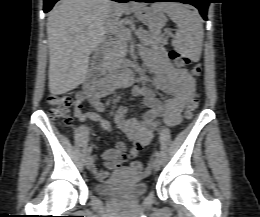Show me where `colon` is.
I'll list each match as a JSON object with an SVG mask.
<instances>
[{
  "mask_svg": "<svg viewBox=\"0 0 260 217\" xmlns=\"http://www.w3.org/2000/svg\"><path fill=\"white\" fill-rule=\"evenodd\" d=\"M171 61L177 66H184L189 63V58L177 51H171L169 54ZM192 73L195 77H199L201 73L200 65L196 64L192 70ZM80 95L76 97L70 95H51L48 98L49 104L52 106V109L49 112V115L52 119L59 120L66 126L72 124V117L70 115V107L75 105L80 101ZM198 108L197 97L194 96L187 104L184 116L186 119H191L194 112ZM133 169L137 172H142L144 169V164L140 161H136L132 165Z\"/></svg>",
  "mask_w": 260,
  "mask_h": 217,
  "instance_id": "colon-1",
  "label": "colon"
}]
</instances>
